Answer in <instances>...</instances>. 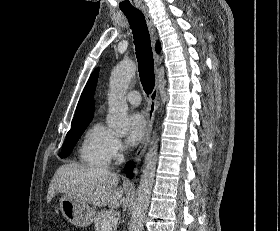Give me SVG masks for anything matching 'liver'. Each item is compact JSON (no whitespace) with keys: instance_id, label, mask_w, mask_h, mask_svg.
Wrapping results in <instances>:
<instances>
[{"instance_id":"obj_1","label":"liver","mask_w":280,"mask_h":231,"mask_svg":"<svg viewBox=\"0 0 280 231\" xmlns=\"http://www.w3.org/2000/svg\"><path fill=\"white\" fill-rule=\"evenodd\" d=\"M119 181L120 177L114 171H99L96 167H84L79 163H64L51 179L47 201L49 203L56 193H66L95 207L109 205L112 211L128 203L123 195V187H117Z\"/></svg>"}]
</instances>
